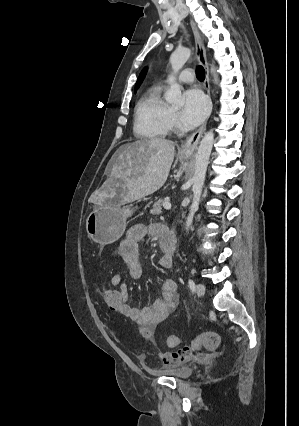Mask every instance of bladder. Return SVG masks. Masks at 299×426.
<instances>
[{
    "instance_id": "31cf9c89",
    "label": "bladder",
    "mask_w": 299,
    "mask_h": 426,
    "mask_svg": "<svg viewBox=\"0 0 299 426\" xmlns=\"http://www.w3.org/2000/svg\"><path fill=\"white\" fill-rule=\"evenodd\" d=\"M158 374L171 376L176 379H187L192 376L193 369L189 366H167L163 367Z\"/></svg>"
}]
</instances>
